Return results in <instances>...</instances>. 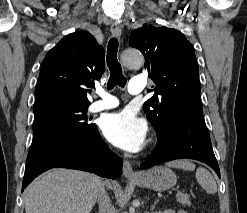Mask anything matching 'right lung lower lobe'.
Segmentation results:
<instances>
[{
	"instance_id": "1",
	"label": "right lung lower lobe",
	"mask_w": 247,
	"mask_h": 213,
	"mask_svg": "<svg viewBox=\"0 0 247 213\" xmlns=\"http://www.w3.org/2000/svg\"><path fill=\"white\" fill-rule=\"evenodd\" d=\"M51 168L78 169L116 179L122 174V160L104 144L97 127H50L33 134L22 192L35 177Z\"/></svg>"
}]
</instances>
